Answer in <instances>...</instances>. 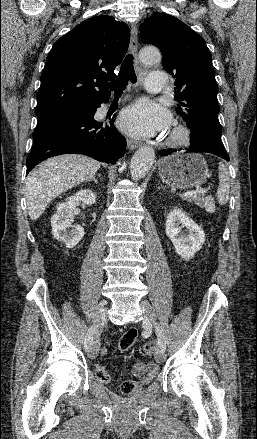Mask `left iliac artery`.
<instances>
[{"instance_id":"44dca946","label":"left iliac artery","mask_w":257,"mask_h":439,"mask_svg":"<svg viewBox=\"0 0 257 439\" xmlns=\"http://www.w3.org/2000/svg\"><path fill=\"white\" fill-rule=\"evenodd\" d=\"M156 333H157L159 345L165 350L166 338H165V334L163 332V329L159 324H157V326H156Z\"/></svg>"}]
</instances>
